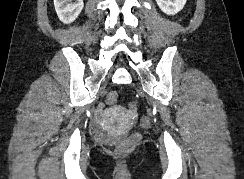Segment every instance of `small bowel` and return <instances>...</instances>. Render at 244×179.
I'll return each instance as SVG.
<instances>
[{
	"label": "small bowel",
	"mask_w": 244,
	"mask_h": 179,
	"mask_svg": "<svg viewBox=\"0 0 244 179\" xmlns=\"http://www.w3.org/2000/svg\"><path fill=\"white\" fill-rule=\"evenodd\" d=\"M144 125H145V126H148V125H149V122H148V121H145V122H144Z\"/></svg>",
	"instance_id": "obj_1"
}]
</instances>
